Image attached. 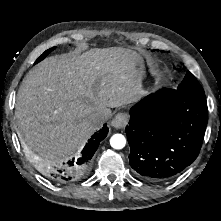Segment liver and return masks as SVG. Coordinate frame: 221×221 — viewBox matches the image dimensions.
<instances>
[{
    "instance_id": "1",
    "label": "liver",
    "mask_w": 221,
    "mask_h": 221,
    "mask_svg": "<svg viewBox=\"0 0 221 221\" xmlns=\"http://www.w3.org/2000/svg\"><path fill=\"white\" fill-rule=\"evenodd\" d=\"M142 59L111 47L51 56L23 79L15 117L26 155L53 159L80 150L93 127L89 115L136 102L142 96Z\"/></svg>"
}]
</instances>
